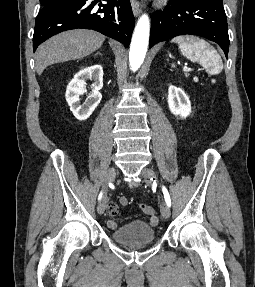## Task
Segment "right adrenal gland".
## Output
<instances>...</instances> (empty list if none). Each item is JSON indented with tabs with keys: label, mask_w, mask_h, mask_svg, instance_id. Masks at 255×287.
I'll return each mask as SVG.
<instances>
[{
	"label": "right adrenal gland",
	"mask_w": 255,
	"mask_h": 287,
	"mask_svg": "<svg viewBox=\"0 0 255 287\" xmlns=\"http://www.w3.org/2000/svg\"><path fill=\"white\" fill-rule=\"evenodd\" d=\"M95 56H103V54H101V52H97V54H95Z\"/></svg>",
	"instance_id": "right-adrenal-gland-1"
}]
</instances>
